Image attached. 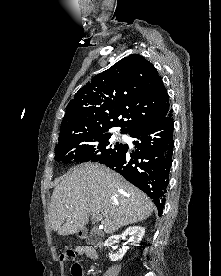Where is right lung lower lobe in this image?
<instances>
[{
    "instance_id": "obj_1",
    "label": "right lung lower lobe",
    "mask_w": 221,
    "mask_h": 276,
    "mask_svg": "<svg viewBox=\"0 0 221 276\" xmlns=\"http://www.w3.org/2000/svg\"><path fill=\"white\" fill-rule=\"evenodd\" d=\"M171 113L169 110L153 123L130 133L137 139L133 141L135 151L130 153L127 147L120 155L103 163L152 198L159 216L165 204L174 147Z\"/></svg>"
}]
</instances>
